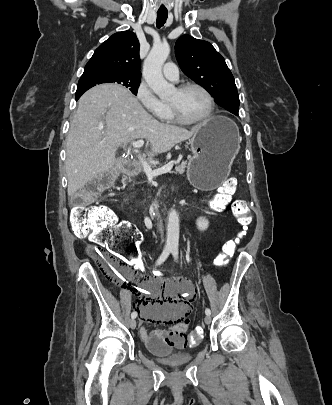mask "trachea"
Wrapping results in <instances>:
<instances>
[{"instance_id": "trachea-1", "label": "trachea", "mask_w": 332, "mask_h": 405, "mask_svg": "<svg viewBox=\"0 0 332 405\" xmlns=\"http://www.w3.org/2000/svg\"><path fill=\"white\" fill-rule=\"evenodd\" d=\"M168 17V11L167 10H158L157 11V20H156V25L158 28L162 27Z\"/></svg>"}]
</instances>
